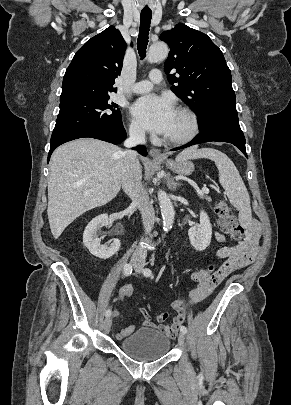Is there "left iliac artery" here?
I'll list each match as a JSON object with an SVG mask.
<instances>
[{
	"label": "left iliac artery",
	"mask_w": 291,
	"mask_h": 405,
	"mask_svg": "<svg viewBox=\"0 0 291 405\" xmlns=\"http://www.w3.org/2000/svg\"><path fill=\"white\" fill-rule=\"evenodd\" d=\"M143 274H144V276H146V277H150V276L152 275V271H151L149 268H145V269L143 270ZM180 330H181V332L184 333V334L187 333V328H186L185 326H181V327H180Z\"/></svg>",
	"instance_id": "left-iliac-artery-1"
}]
</instances>
